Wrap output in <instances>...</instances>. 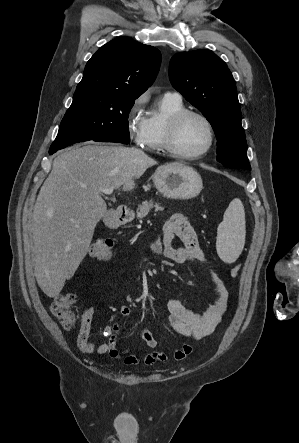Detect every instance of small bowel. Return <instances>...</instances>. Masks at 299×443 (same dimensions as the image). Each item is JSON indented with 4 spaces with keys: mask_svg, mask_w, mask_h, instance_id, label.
Listing matches in <instances>:
<instances>
[{
    "mask_svg": "<svg viewBox=\"0 0 299 443\" xmlns=\"http://www.w3.org/2000/svg\"><path fill=\"white\" fill-rule=\"evenodd\" d=\"M162 232V240L160 237L155 239L150 245V252L155 256H163L177 264L197 263L207 270L214 284V302L202 313L187 309L177 299H171L168 302L169 316L167 323L169 327L191 342H198L213 332L225 314L229 302V290L223 278L212 267L206 254L200 247L197 234L185 215L175 214L170 217L163 224ZM176 238L180 239L179 245L175 244ZM119 314L121 319L129 316V307L120 306ZM92 318L93 310L86 308L82 312L83 327L80 329L77 337V344L82 352L86 354H108L114 359L123 358L127 365H137L141 361L147 365H152L167 359L164 352L156 350L158 341L147 327H143L140 330V336L152 350L144 356L132 354L127 349H119L117 347L116 335L119 331V323L104 327L103 335L108 337L107 342L95 343L91 341L89 334ZM191 352V345L184 344L173 352V357L176 360H182L190 355Z\"/></svg>",
    "mask_w": 299,
    "mask_h": 443,
    "instance_id": "obj_1",
    "label": "small bowel"
}]
</instances>
